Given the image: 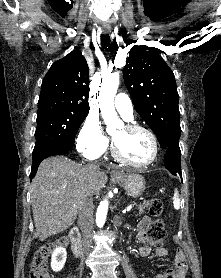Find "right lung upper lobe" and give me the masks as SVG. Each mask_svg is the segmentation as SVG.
<instances>
[{
	"label": "right lung upper lobe",
	"instance_id": "cb5924a9",
	"mask_svg": "<svg viewBox=\"0 0 221 278\" xmlns=\"http://www.w3.org/2000/svg\"><path fill=\"white\" fill-rule=\"evenodd\" d=\"M89 68L80 51L54 62L42 81L38 109L89 112Z\"/></svg>",
	"mask_w": 221,
	"mask_h": 278
}]
</instances>
